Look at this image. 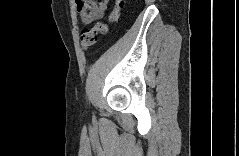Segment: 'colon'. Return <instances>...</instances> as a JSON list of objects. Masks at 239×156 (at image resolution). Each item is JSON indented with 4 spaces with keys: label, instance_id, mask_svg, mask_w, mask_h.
<instances>
[{
    "label": "colon",
    "instance_id": "1",
    "mask_svg": "<svg viewBox=\"0 0 239 156\" xmlns=\"http://www.w3.org/2000/svg\"><path fill=\"white\" fill-rule=\"evenodd\" d=\"M121 9V3L116 2L114 8L110 12L108 16L109 22H115L119 18ZM108 26L107 24H98L92 28H85L82 30L81 37H80V43L83 50H87L92 45L95 44L96 39L99 35H104L107 32Z\"/></svg>",
    "mask_w": 239,
    "mask_h": 156
}]
</instances>
